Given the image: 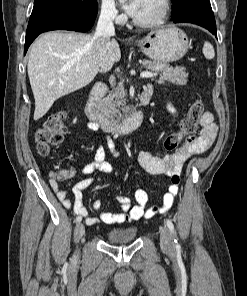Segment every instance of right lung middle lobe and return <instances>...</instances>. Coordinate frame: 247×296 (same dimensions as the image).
I'll list each match as a JSON object with an SVG mask.
<instances>
[{
    "mask_svg": "<svg viewBox=\"0 0 247 296\" xmlns=\"http://www.w3.org/2000/svg\"><path fill=\"white\" fill-rule=\"evenodd\" d=\"M65 0H35L32 13ZM78 12L97 11V0H68Z\"/></svg>",
    "mask_w": 247,
    "mask_h": 296,
    "instance_id": "dd1d6c3e",
    "label": "right lung middle lobe"
}]
</instances>
